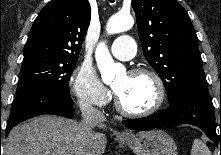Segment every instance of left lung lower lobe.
Segmentation results:
<instances>
[{
  "label": "left lung lower lobe",
  "mask_w": 221,
  "mask_h": 155,
  "mask_svg": "<svg viewBox=\"0 0 221 155\" xmlns=\"http://www.w3.org/2000/svg\"><path fill=\"white\" fill-rule=\"evenodd\" d=\"M122 123L130 129H151L161 126L191 124L202 129L217 145L215 114L207 85L187 89L175 102L170 104L169 108L158 114L140 119H128Z\"/></svg>",
  "instance_id": "left-lung-lower-lobe-1"
}]
</instances>
